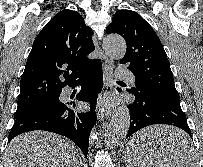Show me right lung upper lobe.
<instances>
[{
	"label": "right lung upper lobe",
	"mask_w": 203,
	"mask_h": 167,
	"mask_svg": "<svg viewBox=\"0 0 203 167\" xmlns=\"http://www.w3.org/2000/svg\"><path fill=\"white\" fill-rule=\"evenodd\" d=\"M92 30L74 10L57 13L33 42L20 82L18 106L58 95L61 89L98 62ZM65 78V81L62 79Z\"/></svg>",
	"instance_id": "1"
}]
</instances>
